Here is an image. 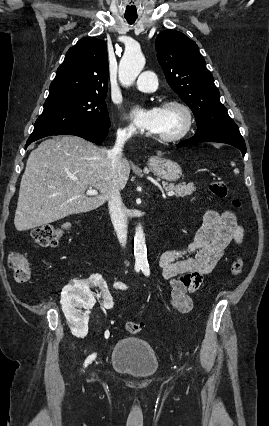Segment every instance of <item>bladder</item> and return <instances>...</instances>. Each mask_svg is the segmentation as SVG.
I'll list each match as a JSON object with an SVG mask.
<instances>
[{"label":"bladder","mask_w":269,"mask_h":426,"mask_svg":"<svg viewBox=\"0 0 269 426\" xmlns=\"http://www.w3.org/2000/svg\"><path fill=\"white\" fill-rule=\"evenodd\" d=\"M110 364L121 372L145 377L157 371L158 358L154 349L145 340L125 337L113 346Z\"/></svg>","instance_id":"31cf9c89"}]
</instances>
